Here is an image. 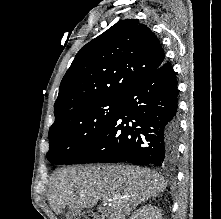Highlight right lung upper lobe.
Returning <instances> with one entry per match:
<instances>
[{
	"mask_svg": "<svg viewBox=\"0 0 221 219\" xmlns=\"http://www.w3.org/2000/svg\"><path fill=\"white\" fill-rule=\"evenodd\" d=\"M164 62L162 46L146 25L117 22L77 53L61 81L55 119L87 102L122 98Z\"/></svg>",
	"mask_w": 221,
	"mask_h": 219,
	"instance_id": "right-lung-upper-lobe-1",
	"label": "right lung upper lobe"
}]
</instances>
